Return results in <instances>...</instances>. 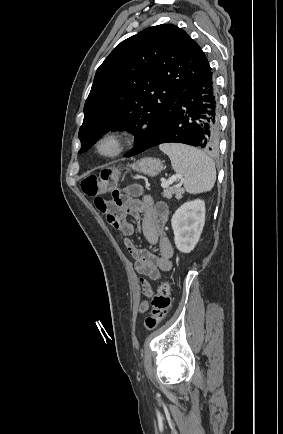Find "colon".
<instances>
[{
    "label": "colon",
    "instance_id": "obj_1",
    "mask_svg": "<svg viewBox=\"0 0 283 434\" xmlns=\"http://www.w3.org/2000/svg\"><path fill=\"white\" fill-rule=\"evenodd\" d=\"M119 172L115 168H107L98 174L86 176L81 181V189L85 195L97 197L99 194L113 189ZM170 283L167 279L163 280L151 301V313L145 318V327L147 330L155 329L165 318L170 308Z\"/></svg>",
    "mask_w": 283,
    "mask_h": 434
}]
</instances>
